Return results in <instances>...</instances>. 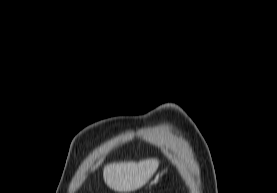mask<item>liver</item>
Segmentation results:
<instances>
[{"mask_svg": "<svg viewBox=\"0 0 277 193\" xmlns=\"http://www.w3.org/2000/svg\"><path fill=\"white\" fill-rule=\"evenodd\" d=\"M155 158L139 162H119L104 166L103 178L107 186L117 192H131L144 186L157 171Z\"/></svg>", "mask_w": 277, "mask_h": 193, "instance_id": "6515ba94", "label": "liver"}]
</instances>
